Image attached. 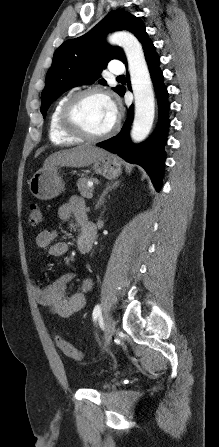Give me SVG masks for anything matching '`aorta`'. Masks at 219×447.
I'll list each match as a JSON object with an SVG mask.
<instances>
[{
    "label": "aorta",
    "instance_id": "obj_1",
    "mask_svg": "<svg viewBox=\"0 0 219 447\" xmlns=\"http://www.w3.org/2000/svg\"><path fill=\"white\" fill-rule=\"evenodd\" d=\"M109 42L123 48L135 98V116L131 130L134 142L143 141L149 134L155 115V101L149 70L138 39L126 31L110 35Z\"/></svg>",
    "mask_w": 219,
    "mask_h": 447
}]
</instances>
